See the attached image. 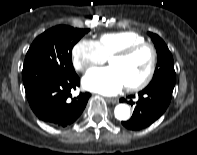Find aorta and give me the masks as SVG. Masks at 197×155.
<instances>
[{"label":"aorta","instance_id":"aorta-1","mask_svg":"<svg viewBox=\"0 0 197 155\" xmlns=\"http://www.w3.org/2000/svg\"><path fill=\"white\" fill-rule=\"evenodd\" d=\"M114 114L118 120H128L130 118V107L126 104H118L115 107Z\"/></svg>","mask_w":197,"mask_h":155}]
</instances>
